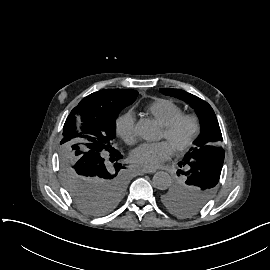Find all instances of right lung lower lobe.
I'll return each instance as SVG.
<instances>
[{
    "mask_svg": "<svg viewBox=\"0 0 270 270\" xmlns=\"http://www.w3.org/2000/svg\"><path fill=\"white\" fill-rule=\"evenodd\" d=\"M107 162V161H106ZM118 162H120V160H118ZM111 163V162H110ZM115 162H113V164H114Z\"/></svg>",
    "mask_w": 270,
    "mask_h": 270,
    "instance_id": "1",
    "label": "right lung lower lobe"
}]
</instances>
